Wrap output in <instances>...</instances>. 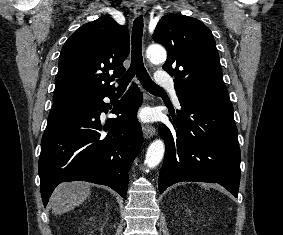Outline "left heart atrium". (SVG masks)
Returning a JSON list of instances; mask_svg holds the SVG:
<instances>
[{"mask_svg": "<svg viewBox=\"0 0 283 235\" xmlns=\"http://www.w3.org/2000/svg\"><path fill=\"white\" fill-rule=\"evenodd\" d=\"M142 117H143V118H146V115H145V114H143V115H142Z\"/></svg>", "mask_w": 283, "mask_h": 235, "instance_id": "1", "label": "left heart atrium"}]
</instances>
